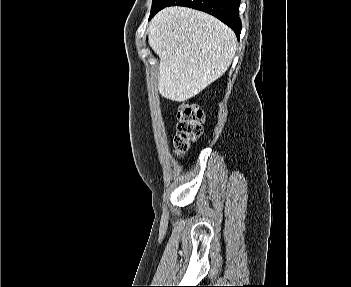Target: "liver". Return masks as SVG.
Instances as JSON below:
<instances>
[{
    "label": "liver",
    "mask_w": 351,
    "mask_h": 287,
    "mask_svg": "<svg viewBox=\"0 0 351 287\" xmlns=\"http://www.w3.org/2000/svg\"><path fill=\"white\" fill-rule=\"evenodd\" d=\"M148 41L159 56L158 89L169 100L184 102L229 68L237 39L215 17L186 7H167L149 23Z\"/></svg>",
    "instance_id": "obj_1"
}]
</instances>
